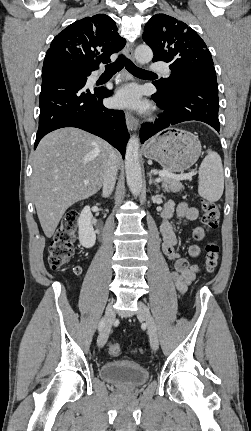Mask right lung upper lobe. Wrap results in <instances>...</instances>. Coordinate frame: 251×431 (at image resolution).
Wrapping results in <instances>:
<instances>
[{
    "label": "right lung upper lobe",
    "instance_id": "right-lung-upper-lobe-1",
    "mask_svg": "<svg viewBox=\"0 0 251 431\" xmlns=\"http://www.w3.org/2000/svg\"><path fill=\"white\" fill-rule=\"evenodd\" d=\"M126 40L117 33L116 23L105 14L78 20L51 42L43 68L55 61H66L86 71H93L100 63L110 62V55L119 52Z\"/></svg>",
    "mask_w": 251,
    "mask_h": 431
}]
</instances>
